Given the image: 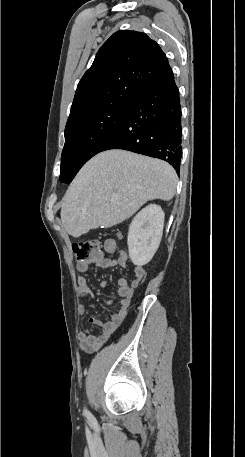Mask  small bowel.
<instances>
[{
    "label": "small bowel",
    "mask_w": 245,
    "mask_h": 457,
    "mask_svg": "<svg viewBox=\"0 0 245 457\" xmlns=\"http://www.w3.org/2000/svg\"><path fill=\"white\" fill-rule=\"evenodd\" d=\"M114 253L117 254L116 258L107 257V254ZM128 261V253L122 249L115 240L108 239L105 241L104 248L100 251L99 255L88 261L79 262L77 264V269L80 272L88 271L91 266L100 268L122 267L126 269L128 268ZM132 272L133 276L130 282L125 278H120L118 280L117 293L121 299L116 308L112 310L110 320L103 321L97 317H91L89 320L90 327L78 334L81 349L85 352L90 353L98 350L110 339L125 319L134 290L142 284L145 275L144 269L138 265L132 266ZM100 285L104 289L109 286L106 280H103ZM78 289L80 298L82 299V303L79 305V313L83 314L85 312L84 303L89 298L94 297V293L87 279L84 277L78 279ZM104 302L108 306L113 305L112 300L104 299ZM91 326L99 327L101 332L99 334H94L91 330Z\"/></svg>",
    "instance_id": "c3829d8e"
}]
</instances>
